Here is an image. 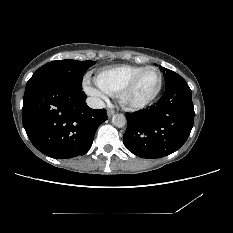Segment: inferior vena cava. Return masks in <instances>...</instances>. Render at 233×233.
Returning a JSON list of instances; mask_svg holds the SVG:
<instances>
[{
  "label": "inferior vena cava",
  "mask_w": 233,
  "mask_h": 233,
  "mask_svg": "<svg viewBox=\"0 0 233 233\" xmlns=\"http://www.w3.org/2000/svg\"><path fill=\"white\" fill-rule=\"evenodd\" d=\"M86 102L89 107L94 109L105 108V103L99 98L89 97L87 98Z\"/></svg>",
  "instance_id": "inferior-vena-cava-1"
}]
</instances>
